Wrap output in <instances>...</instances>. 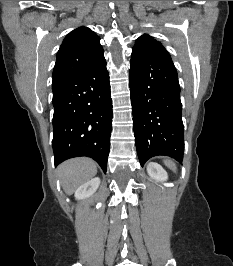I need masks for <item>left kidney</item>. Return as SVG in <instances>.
<instances>
[{
    "mask_svg": "<svg viewBox=\"0 0 233 266\" xmlns=\"http://www.w3.org/2000/svg\"><path fill=\"white\" fill-rule=\"evenodd\" d=\"M147 172L149 176L156 182H161L168 179L166 171L157 163H149Z\"/></svg>",
    "mask_w": 233,
    "mask_h": 266,
    "instance_id": "obj_1",
    "label": "left kidney"
}]
</instances>
